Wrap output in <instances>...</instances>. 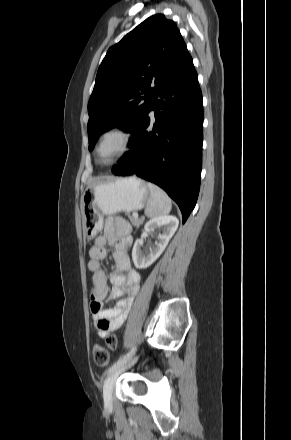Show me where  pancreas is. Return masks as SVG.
<instances>
[{
	"label": "pancreas",
	"mask_w": 291,
	"mask_h": 440,
	"mask_svg": "<svg viewBox=\"0 0 291 440\" xmlns=\"http://www.w3.org/2000/svg\"><path fill=\"white\" fill-rule=\"evenodd\" d=\"M127 215H128V218L130 219L132 225H134L135 227L139 228L143 224V219L135 218V217L131 216L130 214H127Z\"/></svg>",
	"instance_id": "obj_1"
}]
</instances>
